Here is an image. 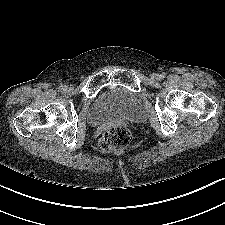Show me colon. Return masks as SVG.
I'll return each mask as SVG.
<instances>
[{
	"instance_id": "obj_1",
	"label": "colon",
	"mask_w": 225,
	"mask_h": 225,
	"mask_svg": "<svg viewBox=\"0 0 225 225\" xmlns=\"http://www.w3.org/2000/svg\"><path fill=\"white\" fill-rule=\"evenodd\" d=\"M133 141L132 133L124 126L107 129L100 137L98 145L104 152H112L128 147Z\"/></svg>"
}]
</instances>
